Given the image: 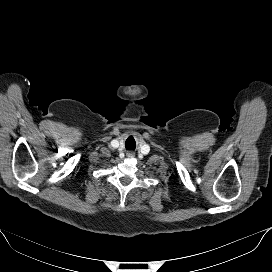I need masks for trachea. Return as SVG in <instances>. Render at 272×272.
I'll return each instance as SVG.
<instances>
[{
  "label": "trachea",
  "instance_id": "obj_1",
  "mask_svg": "<svg viewBox=\"0 0 272 272\" xmlns=\"http://www.w3.org/2000/svg\"><path fill=\"white\" fill-rule=\"evenodd\" d=\"M125 147L127 150H135L136 148V142L132 136H130L126 142H125Z\"/></svg>",
  "mask_w": 272,
  "mask_h": 272
}]
</instances>
